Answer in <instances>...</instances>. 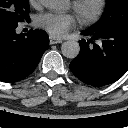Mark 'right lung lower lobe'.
<instances>
[{
    "label": "right lung lower lobe",
    "instance_id": "98d812e1",
    "mask_svg": "<svg viewBox=\"0 0 128 128\" xmlns=\"http://www.w3.org/2000/svg\"><path fill=\"white\" fill-rule=\"evenodd\" d=\"M16 28L0 27V81L12 83L30 75L49 45L48 35L30 30L17 35Z\"/></svg>",
    "mask_w": 128,
    "mask_h": 128
}]
</instances>
